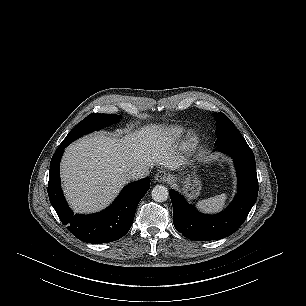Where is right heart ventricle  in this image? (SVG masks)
<instances>
[{
  "instance_id": "right-heart-ventricle-1",
  "label": "right heart ventricle",
  "mask_w": 306,
  "mask_h": 306,
  "mask_svg": "<svg viewBox=\"0 0 306 306\" xmlns=\"http://www.w3.org/2000/svg\"><path fill=\"white\" fill-rule=\"evenodd\" d=\"M182 133H183V130L181 128H178V129L175 130V134L177 136H180Z\"/></svg>"
}]
</instances>
